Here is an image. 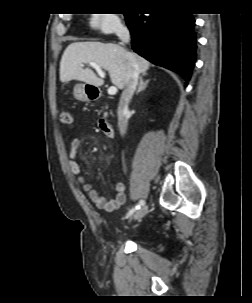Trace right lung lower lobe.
<instances>
[{"instance_id": "1", "label": "right lung lower lobe", "mask_w": 252, "mask_h": 303, "mask_svg": "<svg viewBox=\"0 0 252 303\" xmlns=\"http://www.w3.org/2000/svg\"><path fill=\"white\" fill-rule=\"evenodd\" d=\"M133 50L189 82L196 57L195 20L188 13L127 14Z\"/></svg>"}]
</instances>
